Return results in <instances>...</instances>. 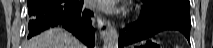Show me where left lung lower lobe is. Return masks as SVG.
Returning <instances> with one entry per match:
<instances>
[{
	"instance_id": "obj_1",
	"label": "left lung lower lobe",
	"mask_w": 213,
	"mask_h": 48,
	"mask_svg": "<svg viewBox=\"0 0 213 48\" xmlns=\"http://www.w3.org/2000/svg\"><path fill=\"white\" fill-rule=\"evenodd\" d=\"M139 19L121 30L118 46L123 48L153 36L161 30L171 29L182 32L190 42L189 8L171 1H146Z\"/></svg>"
}]
</instances>
